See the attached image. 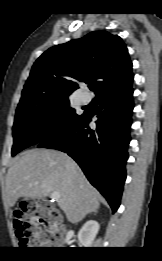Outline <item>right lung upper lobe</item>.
Returning <instances> with one entry per match:
<instances>
[{
    "mask_svg": "<svg viewBox=\"0 0 162 261\" xmlns=\"http://www.w3.org/2000/svg\"><path fill=\"white\" fill-rule=\"evenodd\" d=\"M77 81L95 82L97 96L132 84V62L122 39L94 31L51 47L34 63L20 101L39 95L69 96L78 89Z\"/></svg>",
    "mask_w": 162,
    "mask_h": 261,
    "instance_id": "right-lung-upper-lobe-1",
    "label": "right lung upper lobe"
}]
</instances>
